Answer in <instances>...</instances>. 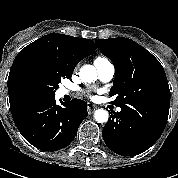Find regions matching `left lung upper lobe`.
I'll return each instance as SVG.
<instances>
[{"instance_id":"left-lung-upper-lobe-1","label":"left lung upper lobe","mask_w":178,"mask_h":178,"mask_svg":"<svg viewBox=\"0 0 178 178\" xmlns=\"http://www.w3.org/2000/svg\"><path fill=\"white\" fill-rule=\"evenodd\" d=\"M99 50L110 58L116 74L110 97L121 108L167 120L170 90L160 62L129 38L95 40Z\"/></svg>"}]
</instances>
